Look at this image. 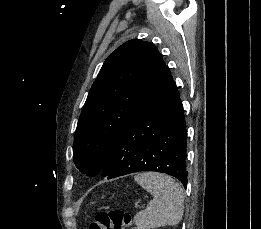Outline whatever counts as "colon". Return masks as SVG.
I'll use <instances>...</instances> for the list:
<instances>
[{"label": "colon", "mask_w": 261, "mask_h": 229, "mask_svg": "<svg viewBox=\"0 0 261 229\" xmlns=\"http://www.w3.org/2000/svg\"><path fill=\"white\" fill-rule=\"evenodd\" d=\"M131 215L121 209L98 212L89 223L88 229H130Z\"/></svg>", "instance_id": "1"}]
</instances>
